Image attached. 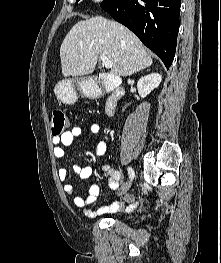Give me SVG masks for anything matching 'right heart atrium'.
Masks as SVG:
<instances>
[{
  "instance_id": "obj_1",
  "label": "right heart atrium",
  "mask_w": 221,
  "mask_h": 263,
  "mask_svg": "<svg viewBox=\"0 0 221 263\" xmlns=\"http://www.w3.org/2000/svg\"><path fill=\"white\" fill-rule=\"evenodd\" d=\"M96 3H101L103 0H93Z\"/></svg>"
}]
</instances>
